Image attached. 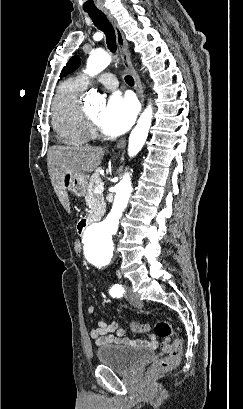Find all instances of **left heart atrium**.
Segmentation results:
<instances>
[{"instance_id": "obj_1", "label": "left heart atrium", "mask_w": 243, "mask_h": 409, "mask_svg": "<svg viewBox=\"0 0 243 409\" xmlns=\"http://www.w3.org/2000/svg\"><path fill=\"white\" fill-rule=\"evenodd\" d=\"M136 113L137 108L131 98L114 94L102 109L98 124L106 135H121L132 126Z\"/></svg>"}]
</instances>
